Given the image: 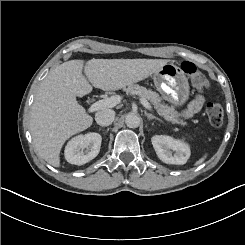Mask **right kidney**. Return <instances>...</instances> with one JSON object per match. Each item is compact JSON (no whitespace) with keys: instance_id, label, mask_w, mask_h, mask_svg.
I'll use <instances>...</instances> for the list:
<instances>
[{"instance_id":"1","label":"right kidney","mask_w":245,"mask_h":245,"mask_svg":"<svg viewBox=\"0 0 245 245\" xmlns=\"http://www.w3.org/2000/svg\"><path fill=\"white\" fill-rule=\"evenodd\" d=\"M101 141L102 137L97 132H88L72 137L64 149L65 160L75 165H83L91 161L98 155Z\"/></svg>"}]
</instances>
